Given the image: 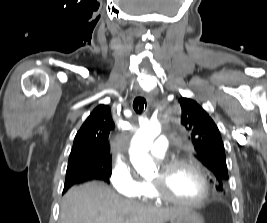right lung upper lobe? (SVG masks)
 Masks as SVG:
<instances>
[{
  "instance_id": "obj_1",
  "label": "right lung upper lobe",
  "mask_w": 267,
  "mask_h": 223,
  "mask_svg": "<svg viewBox=\"0 0 267 223\" xmlns=\"http://www.w3.org/2000/svg\"><path fill=\"white\" fill-rule=\"evenodd\" d=\"M113 129L109 107H96L75 136L68 164L89 161L95 165L91 171L106 174L111 163L108 136Z\"/></svg>"
}]
</instances>
